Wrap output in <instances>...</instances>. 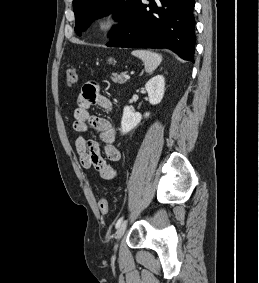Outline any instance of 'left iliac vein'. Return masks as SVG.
Wrapping results in <instances>:
<instances>
[{"instance_id":"4c4485c4","label":"left iliac vein","mask_w":259,"mask_h":283,"mask_svg":"<svg viewBox=\"0 0 259 283\" xmlns=\"http://www.w3.org/2000/svg\"><path fill=\"white\" fill-rule=\"evenodd\" d=\"M126 227H127V222L124 221V222L120 225V227L118 228V230H117V232H116L115 238H116L117 241H119V240L122 238V236L124 235L125 230H126Z\"/></svg>"}]
</instances>
